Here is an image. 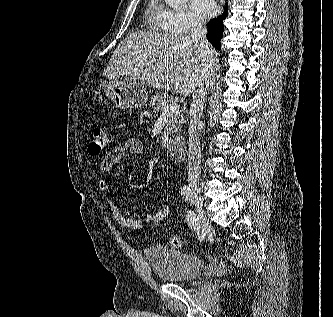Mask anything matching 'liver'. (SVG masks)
<instances>
[{"mask_svg": "<svg viewBox=\"0 0 333 317\" xmlns=\"http://www.w3.org/2000/svg\"><path fill=\"white\" fill-rule=\"evenodd\" d=\"M210 49L214 70L218 54ZM207 59L208 54L188 35L135 31L115 49L105 73L112 77L127 75L155 89L188 97L207 71Z\"/></svg>", "mask_w": 333, "mask_h": 317, "instance_id": "liver-1", "label": "liver"}]
</instances>
